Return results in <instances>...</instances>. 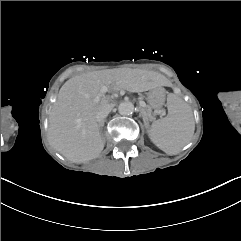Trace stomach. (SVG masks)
Here are the masks:
<instances>
[{
    "mask_svg": "<svg viewBox=\"0 0 241 241\" xmlns=\"http://www.w3.org/2000/svg\"><path fill=\"white\" fill-rule=\"evenodd\" d=\"M150 107L159 109L165 103V91L162 88H157L148 93L147 97Z\"/></svg>",
    "mask_w": 241,
    "mask_h": 241,
    "instance_id": "0dacf381",
    "label": "stomach"
}]
</instances>
